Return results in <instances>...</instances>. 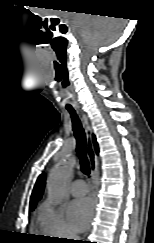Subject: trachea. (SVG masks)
Here are the masks:
<instances>
[{"label": "trachea", "instance_id": "1", "mask_svg": "<svg viewBox=\"0 0 154 243\" xmlns=\"http://www.w3.org/2000/svg\"><path fill=\"white\" fill-rule=\"evenodd\" d=\"M67 110L70 113L72 119L73 132L77 141L76 151L80 159L81 170L84 174L89 175L90 164L88 162L87 155H86L85 131L82 127L81 121L78 118L75 110L73 108H67Z\"/></svg>", "mask_w": 154, "mask_h": 243}]
</instances>
